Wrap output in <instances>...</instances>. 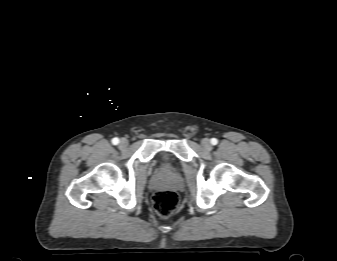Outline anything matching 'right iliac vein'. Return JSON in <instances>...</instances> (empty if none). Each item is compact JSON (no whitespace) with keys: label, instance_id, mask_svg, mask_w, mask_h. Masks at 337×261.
Wrapping results in <instances>:
<instances>
[{"label":"right iliac vein","instance_id":"obj_1","mask_svg":"<svg viewBox=\"0 0 337 261\" xmlns=\"http://www.w3.org/2000/svg\"><path fill=\"white\" fill-rule=\"evenodd\" d=\"M128 146V140L126 138H122L119 142V148L124 149Z\"/></svg>","mask_w":337,"mask_h":261}]
</instances>
